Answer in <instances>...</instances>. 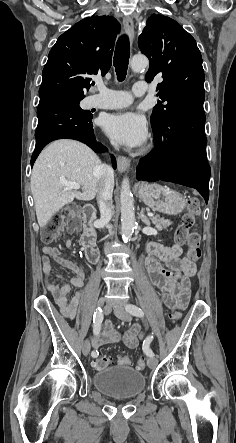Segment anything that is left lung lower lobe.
I'll return each instance as SVG.
<instances>
[{"label": "left lung lower lobe", "instance_id": "0a47b994", "mask_svg": "<svg viewBox=\"0 0 236 443\" xmlns=\"http://www.w3.org/2000/svg\"><path fill=\"white\" fill-rule=\"evenodd\" d=\"M204 124L201 105H184L170 112L163 125L152 127L155 149L140 160L137 179L170 181L195 188L207 203L211 169Z\"/></svg>", "mask_w": 236, "mask_h": 443}]
</instances>
